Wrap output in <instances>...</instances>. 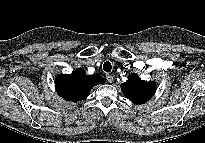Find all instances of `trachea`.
Returning a JSON list of instances; mask_svg holds the SVG:
<instances>
[{
	"label": "trachea",
	"mask_w": 205,
	"mask_h": 143,
	"mask_svg": "<svg viewBox=\"0 0 205 143\" xmlns=\"http://www.w3.org/2000/svg\"><path fill=\"white\" fill-rule=\"evenodd\" d=\"M103 69L105 72H110L111 69H112V65L109 61H106L104 64H103Z\"/></svg>",
	"instance_id": "obj_1"
}]
</instances>
